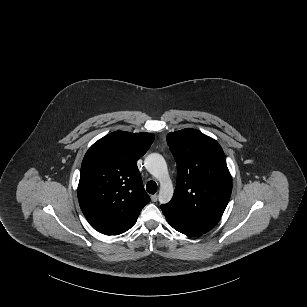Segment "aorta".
<instances>
[{"label":"aorta","mask_w":307,"mask_h":307,"mask_svg":"<svg viewBox=\"0 0 307 307\" xmlns=\"http://www.w3.org/2000/svg\"><path fill=\"white\" fill-rule=\"evenodd\" d=\"M144 166L160 182L159 202L168 203L173 197L174 190L165 159L158 153H151L145 158Z\"/></svg>","instance_id":"aorta-1"}]
</instances>
